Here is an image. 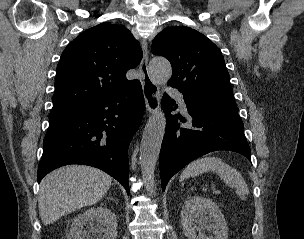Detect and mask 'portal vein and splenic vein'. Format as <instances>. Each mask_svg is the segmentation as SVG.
<instances>
[{
    "mask_svg": "<svg viewBox=\"0 0 304 239\" xmlns=\"http://www.w3.org/2000/svg\"><path fill=\"white\" fill-rule=\"evenodd\" d=\"M213 192L215 193V194H219L220 193V190H213Z\"/></svg>",
    "mask_w": 304,
    "mask_h": 239,
    "instance_id": "1",
    "label": "portal vein and splenic vein"
}]
</instances>
